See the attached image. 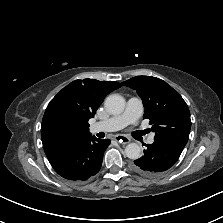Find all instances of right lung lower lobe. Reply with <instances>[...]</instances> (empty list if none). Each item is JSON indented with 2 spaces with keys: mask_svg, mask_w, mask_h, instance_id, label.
<instances>
[{
  "mask_svg": "<svg viewBox=\"0 0 223 223\" xmlns=\"http://www.w3.org/2000/svg\"><path fill=\"white\" fill-rule=\"evenodd\" d=\"M109 144V139L89 136L81 142L56 149L46 156L54 170L63 178L85 181L99 172L104 151Z\"/></svg>",
  "mask_w": 223,
  "mask_h": 223,
  "instance_id": "1",
  "label": "right lung lower lobe"
}]
</instances>
